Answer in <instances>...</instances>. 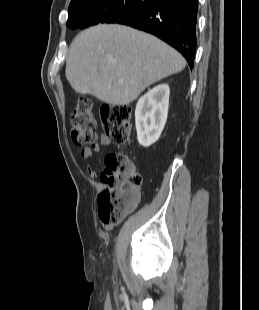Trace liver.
I'll return each instance as SVG.
<instances>
[{
	"label": "liver",
	"instance_id": "liver-1",
	"mask_svg": "<svg viewBox=\"0 0 259 310\" xmlns=\"http://www.w3.org/2000/svg\"><path fill=\"white\" fill-rule=\"evenodd\" d=\"M185 65L179 52L153 35L102 24L80 32L72 41L65 74L77 93L123 106Z\"/></svg>",
	"mask_w": 259,
	"mask_h": 310
}]
</instances>
